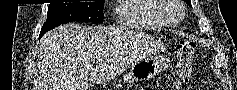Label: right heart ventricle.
I'll use <instances>...</instances> for the list:
<instances>
[{"label": "right heart ventricle", "instance_id": "e07e8e85", "mask_svg": "<svg viewBox=\"0 0 237 90\" xmlns=\"http://www.w3.org/2000/svg\"><path fill=\"white\" fill-rule=\"evenodd\" d=\"M121 3V6L116 7L115 10V14L119 15V19L114 21L119 28L167 29L158 18L151 16L168 14L170 2H161V0H123Z\"/></svg>", "mask_w": 237, "mask_h": 90}]
</instances>
